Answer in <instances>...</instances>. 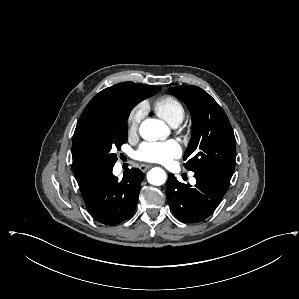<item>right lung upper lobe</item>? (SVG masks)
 <instances>
[{"instance_id":"1","label":"right lung upper lobe","mask_w":299,"mask_h":299,"mask_svg":"<svg viewBox=\"0 0 299 299\" xmlns=\"http://www.w3.org/2000/svg\"><path fill=\"white\" fill-rule=\"evenodd\" d=\"M156 87L158 86L126 82L102 90L85 107L77 123L73 138L80 135L110 110L119 106H134L143 100L142 96L145 92Z\"/></svg>"}]
</instances>
